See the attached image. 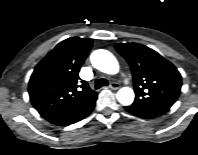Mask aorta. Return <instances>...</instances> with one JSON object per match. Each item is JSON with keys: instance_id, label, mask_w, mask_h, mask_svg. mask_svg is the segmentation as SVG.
I'll use <instances>...</instances> for the list:
<instances>
[{"instance_id": "762f6f07", "label": "aorta", "mask_w": 198, "mask_h": 155, "mask_svg": "<svg viewBox=\"0 0 198 155\" xmlns=\"http://www.w3.org/2000/svg\"><path fill=\"white\" fill-rule=\"evenodd\" d=\"M90 60L92 65L101 72L115 74L119 70V64L115 56L104 49L95 50ZM117 100L124 106L131 105L134 101V92L130 87H123L117 92Z\"/></svg>"}]
</instances>
